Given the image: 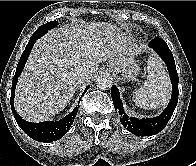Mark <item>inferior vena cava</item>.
I'll list each match as a JSON object with an SVG mask.
<instances>
[{
    "label": "inferior vena cava",
    "mask_w": 196,
    "mask_h": 166,
    "mask_svg": "<svg viewBox=\"0 0 196 166\" xmlns=\"http://www.w3.org/2000/svg\"><path fill=\"white\" fill-rule=\"evenodd\" d=\"M74 77L79 83H82L83 81L87 80L88 74L82 69H77L74 74Z\"/></svg>",
    "instance_id": "inferior-vena-cava-1"
}]
</instances>
